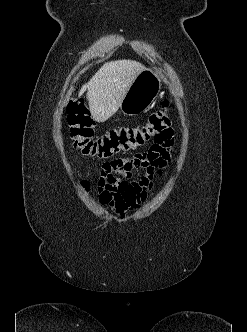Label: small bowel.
<instances>
[{
	"label": "small bowel",
	"mask_w": 247,
	"mask_h": 332,
	"mask_svg": "<svg viewBox=\"0 0 247 332\" xmlns=\"http://www.w3.org/2000/svg\"><path fill=\"white\" fill-rule=\"evenodd\" d=\"M171 145L170 139L166 144L154 145L133 157L104 162L98 179L100 203L119 215L139 207L170 161Z\"/></svg>",
	"instance_id": "small-bowel-1"
}]
</instances>
